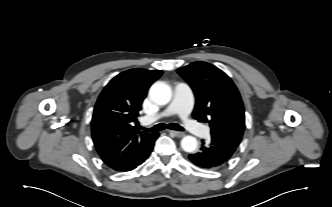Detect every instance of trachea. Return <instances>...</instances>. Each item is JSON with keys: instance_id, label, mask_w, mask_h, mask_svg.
Returning <instances> with one entry per match:
<instances>
[{"instance_id": "3493384b", "label": "trachea", "mask_w": 332, "mask_h": 207, "mask_svg": "<svg viewBox=\"0 0 332 207\" xmlns=\"http://www.w3.org/2000/svg\"><path fill=\"white\" fill-rule=\"evenodd\" d=\"M166 127H168L169 129H172V130H177V131H183L184 130V128L182 126H180L179 124H176V123H170L167 126L165 124L160 123V124H157V125L153 126L152 128H149V129H146V128H143V127L139 126V128L141 130L150 131V132L161 131V130H164Z\"/></svg>"}]
</instances>
